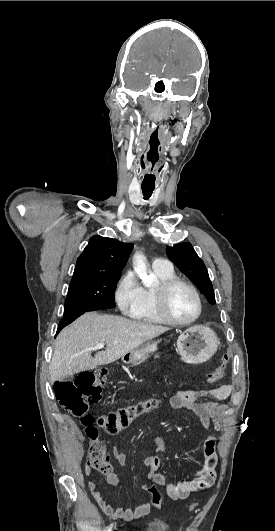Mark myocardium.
I'll return each instance as SVG.
<instances>
[{"instance_id":"1","label":"myocardium","mask_w":275,"mask_h":531,"mask_svg":"<svg viewBox=\"0 0 275 531\" xmlns=\"http://www.w3.org/2000/svg\"><path fill=\"white\" fill-rule=\"evenodd\" d=\"M176 285H182L186 287L187 289L191 291V293L195 297V300L197 303V312L191 319L184 320V321L177 320L170 314L168 310V305H167L168 296H169L170 291ZM154 294H155L156 306H157V310L159 314L166 322L172 325H176V326L191 325L192 323L196 322L202 314L203 306H202V300H201L198 290L193 284H191L190 282L184 279H181L178 277H172L167 280L161 281L159 285L154 289Z\"/></svg>"}]
</instances>
